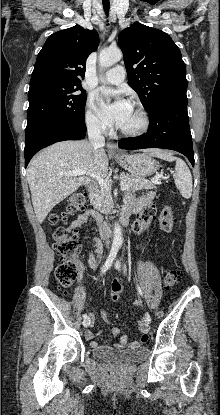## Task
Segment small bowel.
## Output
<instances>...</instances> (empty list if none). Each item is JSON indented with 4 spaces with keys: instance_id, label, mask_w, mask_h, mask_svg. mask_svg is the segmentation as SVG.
I'll use <instances>...</instances> for the list:
<instances>
[{
    "instance_id": "obj_1",
    "label": "small bowel",
    "mask_w": 220,
    "mask_h": 415,
    "mask_svg": "<svg viewBox=\"0 0 220 415\" xmlns=\"http://www.w3.org/2000/svg\"><path fill=\"white\" fill-rule=\"evenodd\" d=\"M153 199H154L153 192H146L137 200L133 199L132 193L127 194L126 203H125L123 212H130L138 216V218L135 220V222L132 225V232L134 234L138 235V234H141L143 231H145L148 228L151 220L153 219V217L145 218L142 215L143 209L146 206L151 205L153 202ZM90 218H94L99 223L102 221V216L96 210L87 209L86 211L78 215V217L72 222L70 226V230L77 234L78 230L82 226H84ZM91 240L93 242V250L88 256V264L91 269H95L98 263L100 262L101 256L103 254V244H102V241L98 237H92ZM123 287H124L123 282L121 280H116L112 284V292L121 294V292L123 291ZM100 316L104 320L106 321L108 320V317L105 311H100ZM139 325H140V332L142 334L141 338L139 340L132 341V342L128 341L127 334H125L121 329L113 328L111 330V334L113 336H119V340L114 344V347L116 349H124V348L135 349V348H139L142 343L146 342L148 339H144L143 336L144 334H148L147 325L143 320L140 321ZM95 335L96 334L93 331L85 332V338L87 340H92L95 337ZM90 344L92 347L99 346V344L95 341H91Z\"/></svg>"
}]
</instances>
